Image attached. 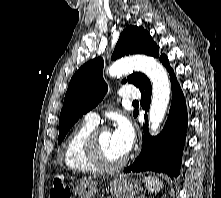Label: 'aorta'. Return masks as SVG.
I'll use <instances>...</instances> for the list:
<instances>
[{
    "label": "aorta",
    "instance_id": "1",
    "mask_svg": "<svg viewBox=\"0 0 221 198\" xmlns=\"http://www.w3.org/2000/svg\"><path fill=\"white\" fill-rule=\"evenodd\" d=\"M145 73L152 82V100L149 110V123L151 133L157 132L165 116L169 99L170 83L163 66L152 57L137 55L116 61L109 69L111 77L121 76L132 70Z\"/></svg>",
    "mask_w": 221,
    "mask_h": 198
}]
</instances>
